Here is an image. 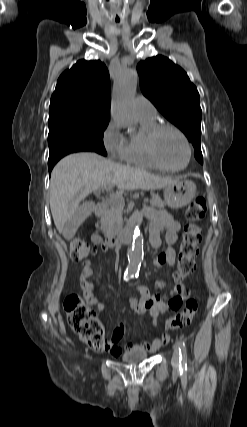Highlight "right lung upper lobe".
<instances>
[{
  "label": "right lung upper lobe",
  "instance_id": "right-lung-upper-lobe-1",
  "mask_svg": "<svg viewBox=\"0 0 247 427\" xmlns=\"http://www.w3.org/2000/svg\"><path fill=\"white\" fill-rule=\"evenodd\" d=\"M110 101V78L105 64L99 60H79L59 77L49 114L80 110L110 115Z\"/></svg>",
  "mask_w": 247,
  "mask_h": 427
}]
</instances>
